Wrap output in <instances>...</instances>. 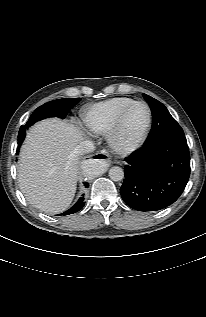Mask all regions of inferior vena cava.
Listing matches in <instances>:
<instances>
[{
  "label": "inferior vena cava",
  "instance_id": "1",
  "mask_svg": "<svg viewBox=\"0 0 206 317\" xmlns=\"http://www.w3.org/2000/svg\"><path fill=\"white\" fill-rule=\"evenodd\" d=\"M94 149V143L89 140L81 141L76 147L78 154H87L93 152Z\"/></svg>",
  "mask_w": 206,
  "mask_h": 317
}]
</instances>
